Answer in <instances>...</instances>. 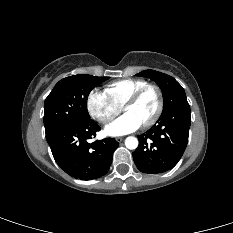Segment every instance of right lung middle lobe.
I'll return each instance as SVG.
<instances>
[{
  "label": "right lung middle lobe",
  "instance_id": "obj_1",
  "mask_svg": "<svg viewBox=\"0 0 233 233\" xmlns=\"http://www.w3.org/2000/svg\"><path fill=\"white\" fill-rule=\"evenodd\" d=\"M108 78L73 75L60 80L45 100V132L60 125L89 120L88 95L96 85Z\"/></svg>",
  "mask_w": 233,
  "mask_h": 233
}]
</instances>
